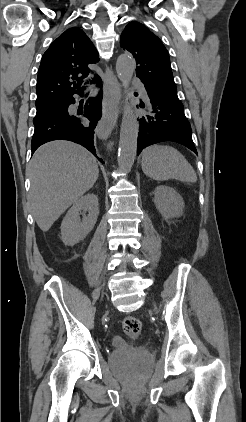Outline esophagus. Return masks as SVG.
Here are the masks:
<instances>
[{"label": "esophagus", "mask_w": 246, "mask_h": 422, "mask_svg": "<svg viewBox=\"0 0 246 422\" xmlns=\"http://www.w3.org/2000/svg\"><path fill=\"white\" fill-rule=\"evenodd\" d=\"M121 102V91L116 75L106 67L104 74V100L102 118L98 124V135L107 139L117 121L119 106Z\"/></svg>", "instance_id": "34e87169"}]
</instances>
